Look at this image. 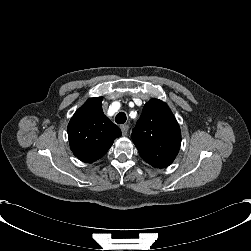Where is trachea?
Instances as JSON below:
<instances>
[{
  "instance_id": "1",
  "label": "trachea",
  "mask_w": 251,
  "mask_h": 251,
  "mask_svg": "<svg viewBox=\"0 0 251 251\" xmlns=\"http://www.w3.org/2000/svg\"><path fill=\"white\" fill-rule=\"evenodd\" d=\"M126 120H127V117L124 112H119L115 117V122L118 124H124Z\"/></svg>"
}]
</instances>
